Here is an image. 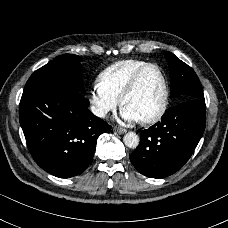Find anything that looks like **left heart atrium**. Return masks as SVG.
Returning a JSON list of instances; mask_svg holds the SVG:
<instances>
[{"label": "left heart atrium", "instance_id": "obj_1", "mask_svg": "<svg viewBox=\"0 0 228 228\" xmlns=\"http://www.w3.org/2000/svg\"><path fill=\"white\" fill-rule=\"evenodd\" d=\"M122 117L128 123H135L139 121V118L128 108L122 110Z\"/></svg>", "mask_w": 228, "mask_h": 228}]
</instances>
